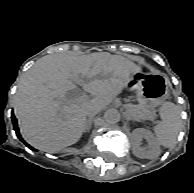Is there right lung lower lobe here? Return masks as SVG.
<instances>
[{
  "instance_id": "right-lung-lower-lobe-1",
  "label": "right lung lower lobe",
  "mask_w": 194,
  "mask_h": 193,
  "mask_svg": "<svg viewBox=\"0 0 194 193\" xmlns=\"http://www.w3.org/2000/svg\"><path fill=\"white\" fill-rule=\"evenodd\" d=\"M12 121H13V125H14V130H15V132H16V134H17V136H18V138L28 147V148H30L31 150H35L34 148H32L30 145H28L23 139H22V137L20 136V133H19V130H18V126H17V120H16V118H15V116H14V113L12 112Z\"/></svg>"
}]
</instances>
